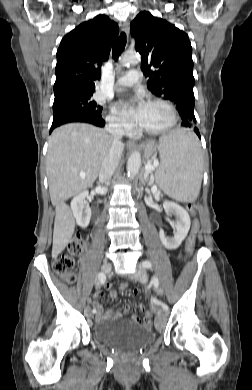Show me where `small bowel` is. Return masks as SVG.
I'll list each match as a JSON object with an SVG mask.
<instances>
[{
  "mask_svg": "<svg viewBox=\"0 0 252 390\" xmlns=\"http://www.w3.org/2000/svg\"><path fill=\"white\" fill-rule=\"evenodd\" d=\"M125 285V284H122L120 286V292H124L126 289H122V286ZM107 288L109 289V296L112 300H116L117 297H118V292L114 289H112L110 287L109 284H107ZM101 292H96L93 296V300H92V303H93V306H94V309L97 310V313H96V320L97 321H103V320H108V319H118V318H121L123 317L124 315H126L129 310H130V307L129 306H125L123 311L122 312H119V311H116V310H109L107 312L104 313L103 311V308L101 306V304L99 303L98 299L101 297ZM140 309L141 310H144V306L143 305H140ZM132 321L136 324H142V320L136 316V315H133L132 316Z\"/></svg>",
  "mask_w": 252,
  "mask_h": 390,
  "instance_id": "small-bowel-1",
  "label": "small bowel"
}]
</instances>
